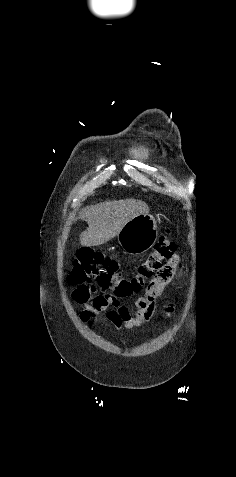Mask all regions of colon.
<instances>
[{"mask_svg": "<svg viewBox=\"0 0 236 477\" xmlns=\"http://www.w3.org/2000/svg\"><path fill=\"white\" fill-rule=\"evenodd\" d=\"M178 264L177 243L169 234L160 238L146 259L138 266L135 276H121L118 262L89 248L79 250L69 275L77 302L95 301L101 297L113 308H122L121 300L139 294L143 290L163 293L174 278ZM99 290H111L112 294H97Z\"/></svg>", "mask_w": 236, "mask_h": 477, "instance_id": "obj_1", "label": "colon"}]
</instances>
